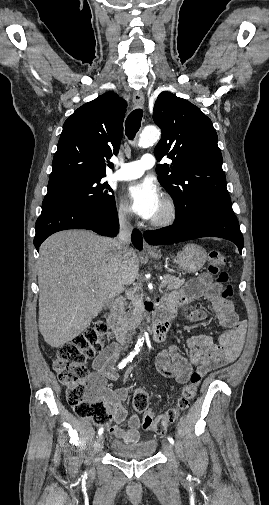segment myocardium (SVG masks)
<instances>
[{
  "instance_id": "obj_1",
  "label": "myocardium",
  "mask_w": 269,
  "mask_h": 505,
  "mask_svg": "<svg viewBox=\"0 0 269 505\" xmlns=\"http://www.w3.org/2000/svg\"><path fill=\"white\" fill-rule=\"evenodd\" d=\"M164 213L155 219H151L149 225L155 228H163L173 224L178 217V207L175 201L168 195L162 197Z\"/></svg>"
}]
</instances>
